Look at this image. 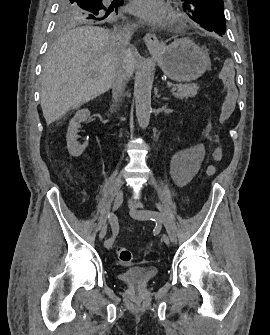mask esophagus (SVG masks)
<instances>
[{
  "label": "esophagus",
  "mask_w": 270,
  "mask_h": 335,
  "mask_svg": "<svg viewBox=\"0 0 270 335\" xmlns=\"http://www.w3.org/2000/svg\"><path fill=\"white\" fill-rule=\"evenodd\" d=\"M144 42L146 44V46L150 49H158L161 47V44L158 40V38L156 37V35L154 33L148 32L146 33V35L144 36Z\"/></svg>",
  "instance_id": "1"
}]
</instances>
